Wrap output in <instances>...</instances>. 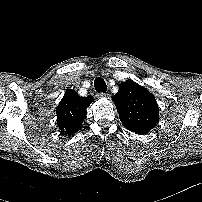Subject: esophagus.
I'll list each match as a JSON object with an SVG mask.
<instances>
[{
    "instance_id": "obj_1",
    "label": "esophagus",
    "mask_w": 202,
    "mask_h": 202,
    "mask_svg": "<svg viewBox=\"0 0 202 202\" xmlns=\"http://www.w3.org/2000/svg\"><path fill=\"white\" fill-rule=\"evenodd\" d=\"M96 97L99 98H109L110 95L107 93H96Z\"/></svg>"
}]
</instances>
